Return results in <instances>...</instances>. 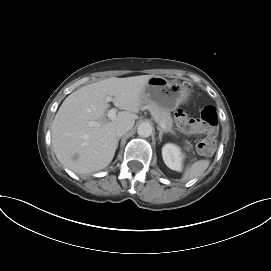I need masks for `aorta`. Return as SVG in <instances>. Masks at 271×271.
I'll return each instance as SVG.
<instances>
[{"instance_id":"obj_1","label":"aorta","mask_w":271,"mask_h":271,"mask_svg":"<svg viewBox=\"0 0 271 271\" xmlns=\"http://www.w3.org/2000/svg\"><path fill=\"white\" fill-rule=\"evenodd\" d=\"M152 126L147 122L141 123L137 128V133L141 137H149L152 134Z\"/></svg>"}]
</instances>
